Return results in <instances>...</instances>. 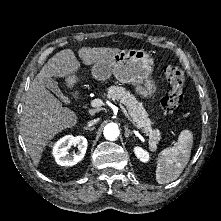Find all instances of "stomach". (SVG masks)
<instances>
[{"mask_svg":"<svg viewBox=\"0 0 221 221\" xmlns=\"http://www.w3.org/2000/svg\"><path fill=\"white\" fill-rule=\"evenodd\" d=\"M154 60L143 49L121 50L111 57L99 60L91 70L93 78L105 81L113 75L119 82L132 84L141 97H151L156 84L151 79ZM71 81H74V77Z\"/></svg>","mask_w":221,"mask_h":221,"instance_id":"stomach-1","label":"stomach"}]
</instances>
